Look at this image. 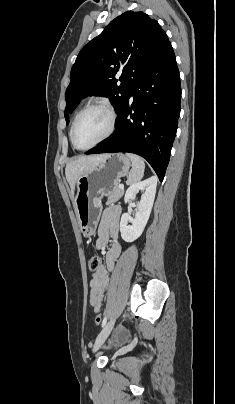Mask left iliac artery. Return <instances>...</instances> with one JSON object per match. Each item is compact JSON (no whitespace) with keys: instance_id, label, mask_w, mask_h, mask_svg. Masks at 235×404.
Returning a JSON list of instances; mask_svg holds the SVG:
<instances>
[{"instance_id":"1","label":"left iliac artery","mask_w":235,"mask_h":404,"mask_svg":"<svg viewBox=\"0 0 235 404\" xmlns=\"http://www.w3.org/2000/svg\"><path fill=\"white\" fill-rule=\"evenodd\" d=\"M107 322V316L104 317L103 322H102V327H104L106 325Z\"/></svg>"}]
</instances>
